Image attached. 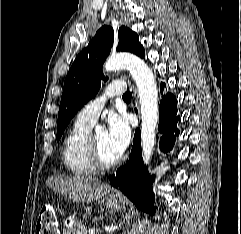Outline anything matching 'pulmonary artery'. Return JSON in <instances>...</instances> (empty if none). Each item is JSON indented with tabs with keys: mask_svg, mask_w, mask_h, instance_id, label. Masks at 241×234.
<instances>
[{
	"mask_svg": "<svg viewBox=\"0 0 241 234\" xmlns=\"http://www.w3.org/2000/svg\"><path fill=\"white\" fill-rule=\"evenodd\" d=\"M124 92L125 86L123 83L112 82L108 84L101 96L95 98L80 110L77 114V120L94 124L97 121L106 100L113 96L122 95Z\"/></svg>",
	"mask_w": 241,
	"mask_h": 234,
	"instance_id": "pulmonary-artery-1",
	"label": "pulmonary artery"
}]
</instances>
